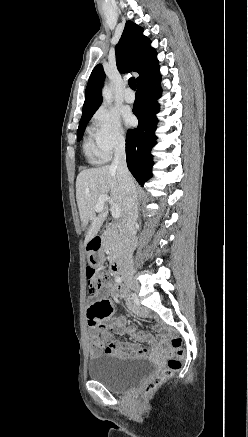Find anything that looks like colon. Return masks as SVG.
Instances as JSON below:
<instances>
[{"instance_id": "colon-1", "label": "colon", "mask_w": 248, "mask_h": 437, "mask_svg": "<svg viewBox=\"0 0 248 437\" xmlns=\"http://www.w3.org/2000/svg\"><path fill=\"white\" fill-rule=\"evenodd\" d=\"M109 279V272L105 268L96 269V267L89 266L87 268V283L91 294H97ZM96 305V304H94ZM184 350L182 347V339L174 337L170 341V357L168 358L165 367L147 383L143 385L142 393L149 395L162 384H164L170 377L173 376L181 368V359Z\"/></svg>"}]
</instances>
